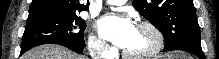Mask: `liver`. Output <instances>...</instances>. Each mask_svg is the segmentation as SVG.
Instances as JSON below:
<instances>
[{
  "instance_id": "liver-1",
  "label": "liver",
  "mask_w": 219,
  "mask_h": 59,
  "mask_svg": "<svg viewBox=\"0 0 219 59\" xmlns=\"http://www.w3.org/2000/svg\"><path fill=\"white\" fill-rule=\"evenodd\" d=\"M21 59H87L85 56L75 54L67 48L47 44L35 47L26 52Z\"/></svg>"
}]
</instances>
